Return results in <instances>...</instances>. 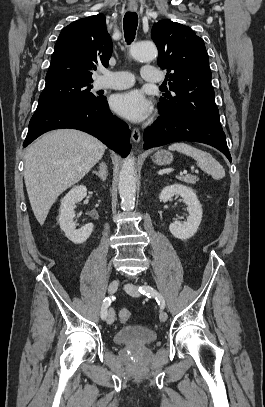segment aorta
I'll list each match as a JSON object with an SVG mask.
<instances>
[{"mask_svg":"<svg viewBox=\"0 0 265 407\" xmlns=\"http://www.w3.org/2000/svg\"><path fill=\"white\" fill-rule=\"evenodd\" d=\"M130 53L135 60L149 62L157 57V48L151 42H138L131 47ZM119 195L121 206L126 210H132L135 205L136 173L135 159L128 156L121 167L119 175Z\"/></svg>","mask_w":265,"mask_h":407,"instance_id":"762f6f07","label":"aorta"}]
</instances>
